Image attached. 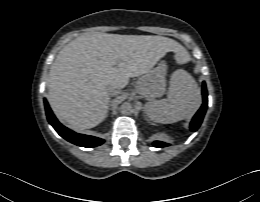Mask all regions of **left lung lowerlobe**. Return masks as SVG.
Masks as SVG:
<instances>
[{
	"label": "left lung lower lobe",
	"instance_id": "0a47b994",
	"mask_svg": "<svg viewBox=\"0 0 260 202\" xmlns=\"http://www.w3.org/2000/svg\"><path fill=\"white\" fill-rule=\"evenodd\" d=\"M202 94H203V104H202L201 108L198 110V112L195 114V116L193 117V119L191 121V124H190L191 131H196L200 127V125L202 123V120L204 118L205 112L207 110V105H208L207 97H208V94H207L205 82H203ZM153 145L155 147L161 148V147H166L169 144L161 142V141H155L153 143Z\"/></svg>",
	"mask_w": 260,
	"mask_h": 202
}]
</instances>
